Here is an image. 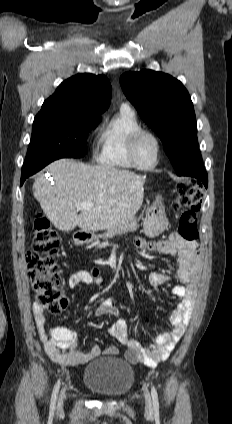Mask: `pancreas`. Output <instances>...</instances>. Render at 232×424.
<instances>
[{
    "mask_svg": "<svg viewBox=\"0 0 232 424\" xmlns=\"http://www.w3.org/2000/svg\"><path fill=\"white\" fill-rule=\"evenodd\" d=\"M139 227L137 219L132 216L128 217L116 226L107 230L106 233L102 234L100 237L104 239L112 238L115 235H120L125 232H133Z\"/></svg>",
    "mask_w": 232,
    "mask_h": 424,
    "instance_id": "pancreas-1",
    "label": "pancreas"
}]
</instances>
